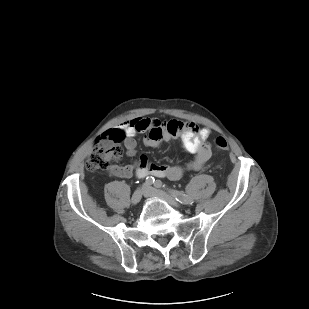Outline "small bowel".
I'll return each instance as SVG.
<instances>
[{"instance_id":"c3829d8e","label":"small bowel","mask_w":309,"mask_h":309,"mask_svg":"<svg viewBox=\"0 0 309 309\" xmlns=\"http://www.w3.org/2000/svg\"><path fill=\"white\" fill-rule=\"evenodd\" d=\"M114 131L123 134L124 145L129 157L135 155V137L141 133L145 134L144 143L149 147H157L163 141L180 139L185 150L194 154L193 159L185 166L179 164H153L148 161L146 156L142 155L128 165L115 167L112 170V173L120 178H128L135 174L138 178L151 175L157 178L179 180L186 170L199 171L203 169L211 156V147L207 143L211 133L210 129L206 127L200 128L193 122L183 123L175 119L161 122L158 119L137 117L125 121ZM114 131H109V133Z\"/></svg>"}]
</instances>
